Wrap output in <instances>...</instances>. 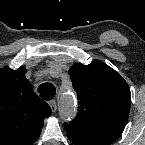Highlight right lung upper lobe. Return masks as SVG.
<instances>
[{
  "mask_svg": "<svg viewBox=\"0 0 145 145\" xmlns=\"http://www.w3.org/2000/svg\"><path fill=\"white\" fill-rule=\"evenodd\" d=\"M26 69H0V145H32L52 113L25 77Z\"/></svg>",
  "mask_w": 145,
  "mask_h": 145,
  "instance_id": "1",
  "label": "right lung upper lobe"
}]
</instances>
